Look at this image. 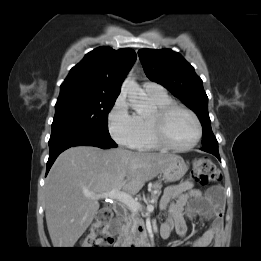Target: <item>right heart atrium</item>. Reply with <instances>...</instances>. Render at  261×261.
<instances>
[{"mask_svg":"<svg viewBox=\"0 0 261 261\" xmlns=\"http://www.w3.org/2000/svg\"><path fill=\"white\" fill-rule=\"evenodd\" d=\"M107 120L110 135L116 142L129 147L135 145L138 137V125L123 95L116 98Z\"/></svg>","mask_w":261,"mask_h":261,"instance_id":"obj_1","label":"right heart atrium"}]
</instances>
